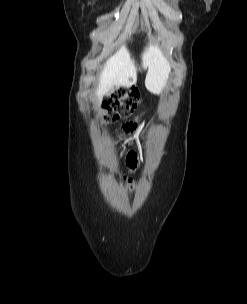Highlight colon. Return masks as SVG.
<instances>
[{"instance_id": "5ec220e1", "label": "colon", "mask_w": 247, "mask_h": 304, "mask_svg": "<svg viewBox=\"0 0 247 304\" xmlns=\"http://www.w3.org/2000/svg\"><path fill=\"white\" fill-rule=\"evenodd\" d=\"M138 100H139V96L136 91L126 87H120L115 91L111 101H109V103H107L106 106L104 107V110L102 112V120L105 123H110L120 118L128 116V114L130 112H133L134 109L136 108L138 104ZM128 155L129 152L127 156ZM132 187L133 186L131 181H128L127 189L131 190Z\"/></svg>"}]
</instances>
